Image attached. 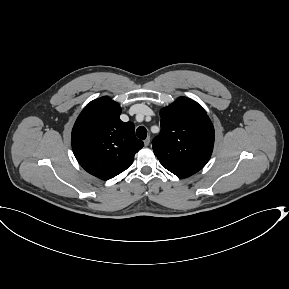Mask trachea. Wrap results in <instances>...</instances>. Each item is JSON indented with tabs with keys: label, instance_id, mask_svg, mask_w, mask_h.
Returning <instances> with one entry per match:
<instances>
[{
	"label": "trachea",
	"instance_id": "3493384b",
	"mask_svg": "<svg viewBox=\"0 0 289 289\" xmlns=\"http://www.w3.org/2000/svg\"><path fill=\"white\" fill-rule=\"evenodd\" d=\"M136 135H137V137L140 138V139H146V137H147V130H146V128L143 127V126L138 127L137 130H136Z\"/></svg>",
	"mask_w": 289,
	"mask_h": 289
}]
</instances>
